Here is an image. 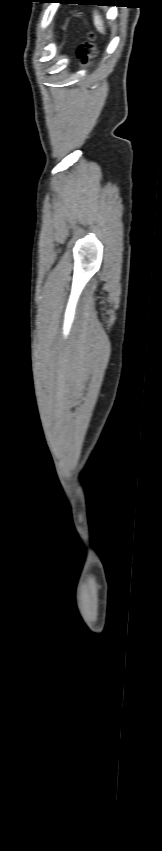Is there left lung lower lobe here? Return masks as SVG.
<instances>
[{
  "mask_svg": "<svg viewBox=\"0 0 162 851\" xmlns=\"http://www.w3.org/2000/svg\"><path fill=\"white\" fill-rule=\"evenodd\" d=\"M100 1H103V0H62L59 3H61V4L77 3L79 5H87L91 2H100ZM98 5H100V4H98Z\"/></svg>",
  "mask_w": 162,
  "mask_h": 851,
  "instance_id": "1",
  "label": "left lung lower lobe"
}]
</instances>
